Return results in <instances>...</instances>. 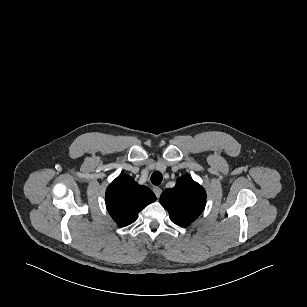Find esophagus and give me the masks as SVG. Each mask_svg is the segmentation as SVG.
Segmentation results:
<instances>
[{
	"mask_svg": "<svg viewBox=\"0 0 307 307\" xmlns=\"http://www.w3.org/2000/svg\"><path fill=\"white\" fill-rule=\"evenodd\" d=\"M153 192L155 193L156 197L159 198L162 193V189L160 187H154Z\"/></svg>",
	"mask_w": 307,
	"mask_h": 307,
	"instance_id": "34e87169",
	"label": "esophagus"
}]
</instances>
